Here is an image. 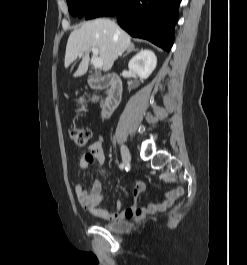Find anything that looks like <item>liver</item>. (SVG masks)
I'll list each match as a JSON object with an SVG mask.
<instances>
[{
    "instance_id": "liver-1",
    "label": "liver",
    "mask_w": 247,
    "mask_h": 265,
    "mask_svg": "<svg viewBox=\"0 0 247 265\" xmlns=\"http://www.w3.org/2000/svg\"><path fill=\"white\" fill-rule=\"evenodd\" d=\"M133 45L130 36L119 28L110 19L99 18L84 23L74 30L67 41L65 53V68L82 54V61L74 73V77L84 75L88 70L89 51L92 47L98 48L100 58L103 60V71H109L114 61Z\"/></svg>"
}]
</instances>
